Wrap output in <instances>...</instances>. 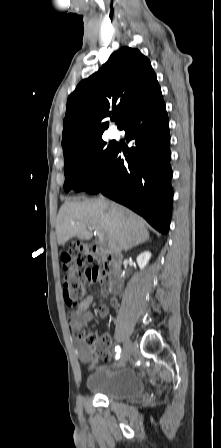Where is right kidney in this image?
I'll list each match as a JSON object with an SVG mask.
<instances>
[{"instance_id":"right-kidney-1","label":"right kidney","mask_w":221,"mask_h":448,"mask_svg":"<svg viewBox=\"0 0 221 448\" xmlns=\"http://www.w3.org/2000/svg\"><path fill=\"white\" fill-rule=\"evenodd\" d=\"M151 258V253L149 251H144L137 257V264L140 269H144L147 265L149 259Z\"/></svg>"}]
</instances>
